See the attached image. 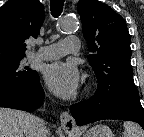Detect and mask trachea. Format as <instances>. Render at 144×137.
Instances as JSON below:
<instances>
[{"instance_id": "1", "label": "trachea", "mask_w": 144, "mask_h": 137, "mask_svg": "<svg viewBox=\"0 0 144 137\" xmlns=\"http://www.w3.org/2000/svg\"><path fill=\"white\" fill-rule=\"evenodd\" d=\"M65 0H51L50 9L53 17H58L63 10Z\"/></svg>"}]
</instances>
